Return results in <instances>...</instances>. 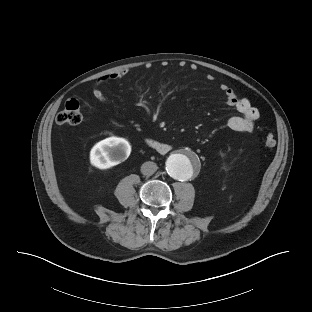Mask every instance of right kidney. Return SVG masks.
I'll use <instances>...</instances> for the list:
<instances>
[{"instance_id": "right-kidney-1", "label": "right kidney", "mask_w": 312, "mask_h": 312, "mask_svg": "<svg viewBox=\"0 0 312 312\" xmlns=\"http://www.w3.org/2000/svg\"><path fill=\"white\" fill-rule=\"evenodd\" d=\"M131 153L127 140L119 137H109L96 143L90 151V162L99 169H108L117 163L125 161Z\"/></svg>"}]
</instances>
